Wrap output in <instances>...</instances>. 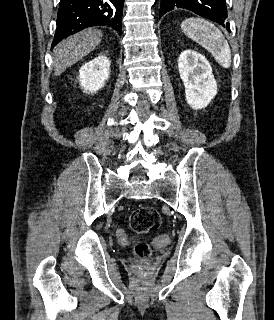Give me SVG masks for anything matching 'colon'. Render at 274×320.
Masks as SVG:
<instances>
[{"instance_id": "5ec220e1", "label": "colon", "mask_w": 274, "mask_h": 320, "mask_svg": "<svg viewBox=\"0 0 274 320\" xmlns=\"http://www.w3.org/2000/svg\"><path fill=\"white\" fill-rule=\"evenodd\" d=\"M161 223L160 214L152 207L140 205L129 216V226L136 234H147L154 231ZM136 255L141 267H147L150 261V249L146 244L136 247Z\"/></svg>"}]
</instances>
